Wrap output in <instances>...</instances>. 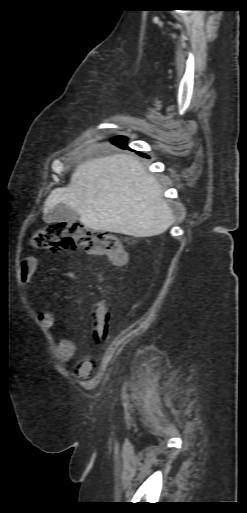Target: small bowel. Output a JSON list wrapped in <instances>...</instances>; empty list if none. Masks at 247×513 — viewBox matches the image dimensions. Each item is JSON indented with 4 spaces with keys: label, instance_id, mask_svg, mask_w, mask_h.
<instances>
[{
    "label": "small bowel",
    "instance_id": "1",
    "mask_svg": "<svg viewBox=\"0 0 247 513\" xmlns=\"http://www.w3.org/2000/svg\"><path fill=\"white\" fill-rule=\"evenodd\" d=\"M37 268V261L33 258L24 259L20 264L19 276L23 284H27L33 277ZM67 279L72 278L71 272L61 273ZM92 317V313H91ZM38 319L41 325L46 330H51L55 325V317L49 311H42L38 314ZM76 353V345L73 340L69 338L61 339L55 346L56 359L60 363L70 361ZM92 371V363L89 361H80L76 368L75 374L79 378H85L90 375Z\"/></svg>",
    "mask_w": 247,
    "mask_h": 513
}]
</instances>
